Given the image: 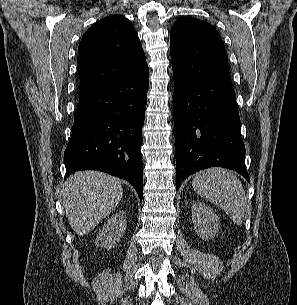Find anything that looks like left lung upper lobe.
<instances>
[{"label": "left lung upper lobe", "instance_id": "obj_1", "mask_svg": "<svg viewBox=\"0 0 297 305\" xmlns=\"http://www.w3.org/2000/svg\"><path fill=\"white\" fill-rule=\"evenodd\" d=\"M172 62L192 75L229 74L228 56L222 38L209 23L183 16L170 33Z\"/></svg>", "mask_w": 297, "mask_h": 305}]
</instances>
